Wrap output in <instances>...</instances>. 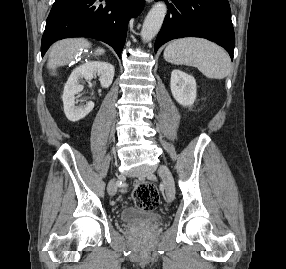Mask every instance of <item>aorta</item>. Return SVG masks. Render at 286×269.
<instances>
[{"label": "aorta", "instance_id": "obj_1", "mask_svg": "<svg viewBox=\"0 0 286 269\" xmlns=\"http://www.w3.org/2000/svg\"><path fill=\"white\" fill-rule=\"evenodd\" d=\"M167 12V7L164 2L159 1L153 5L148 12L142 29L141 38L144 42L152 40L159 32Z\"/></svg>", "mask_w": 286, "mask_h": 269}]
</instances>
